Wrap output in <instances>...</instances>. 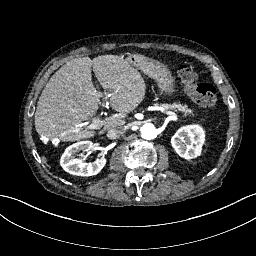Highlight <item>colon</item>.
<instances>
[{
  "instance_id": "obj_1",
  "label": "colon",
  "mask_w": 256,
  "mask_h": 256,
  "mask_svg": "<svg viewBox=\"0 0 256 256\" xmlns=\"http://www.w3.org/2000/svg\"><path fill=\"white\" fill-rule=\"evenodd\" d=\"M179 77L183 90L203 108H211L217 100V93L211 84H197L198 73L189 65L179 67Z\"/></svg>"
}]
</instances>
